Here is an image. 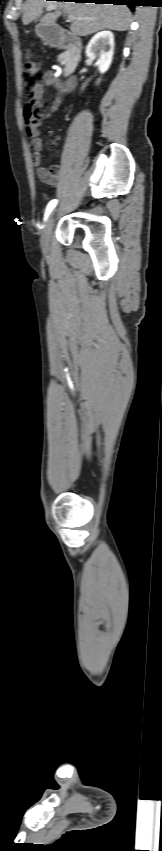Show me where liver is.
<instances>
[{
	"mask_svg": "<svg viewBox=\"0 0 162 851\" xmlns=\"http://www.w3.org/2000/svg\"><path fill=\"white\" fill-rule=\"evenodd\" d=\"M44 7H53L55 12L41 17ZM61 11L77 18L72 22L70 30L78 36L91 35L104 29L126 31L131 22V12L125 5L46 0H26L22 22L28 25L41 17V23L53 25Z\"/></svg>",
	"mask_w": 162,
	"mask_h": 851,
	"instance_id": "obj_1",
	"label": "liver"
}]
</instances>
